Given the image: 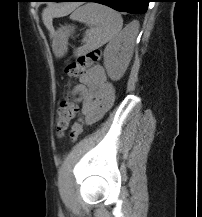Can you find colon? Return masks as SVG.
Instances as JSON below:
<instances>
[{"mask_svg": "<svg viewBox=\"0 0 202 217\" xmlns=\"http://www.w3.org/2000/svg\"><path fill=\"white\" fill-rule=\"evenodd\" d=\"M100 58L101 52L99 50H92L69 63L65 71L70 77L77 78L87 67L99 61ZM76 111L77 104L74 100L67 98L61 102L56 116V130L59 135H62L67 130ZM82 132L83 126L80 122H77L71 127L70 138L76 141L81 136Z\"/></svg>", "mask_w": 202, "mask_h": 217, "instance_id": "5ec220e1", "label": "colon"}]
</instances>
